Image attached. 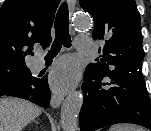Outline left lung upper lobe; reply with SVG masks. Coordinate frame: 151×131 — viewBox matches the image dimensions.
<instances>
[{
  "label": "left lung upper lobe",
  "mask_w": 151,
  "mask_h": 131,
  "mask_svg": "<svg viewBox=\"0 0 151 131\" xmlns=\"http://www.w3.org/2000/svg\"><path fill=\"white\" fill-rule=\"evenodd\" d=\"M95 21L93 38L105 39L103 53L87 70L97 76L142 67L141 22L135 0H80Z\"/></svg>",
  "instance_id": "1"
}]
</instances>
